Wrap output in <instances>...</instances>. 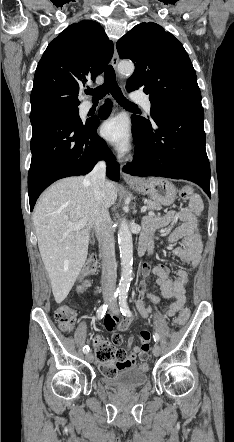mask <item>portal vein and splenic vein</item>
<instances>
[{
    "label": "portal vein and splenic vein",
    "instance_id": "portal-vein-and-splenic-vein-1",
    "mask_svg": "<svg viewBox=\"0 0 234 442\" xmlns=\"http://www.w3.org/2000/svg\"><path fill=\"white\" fill-rule=\"evenodd\" d=\"M146 209H147V207L143 206L141 208V212L144 213L146 211ZM86 224H87V220L85 218V219L79 220L76 223H69L68 227L72 230H75V229H80V228L84 227Z\"/></svg>",
    "mask_w": 234,
    "mask_h": 442
}]
</instances>
